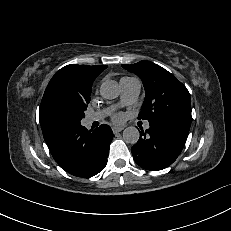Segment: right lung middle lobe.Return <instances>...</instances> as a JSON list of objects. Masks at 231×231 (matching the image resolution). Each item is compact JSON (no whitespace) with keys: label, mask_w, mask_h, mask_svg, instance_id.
I'll return each mask as SVG.
<instances>
[{"label":"right lung middle lobe","mask_w":231,"mask_h":231,"mask_svg":"<svg viewBox=\"0 0 231 231\" xmlns=\"http://www.w3.org/2000/svg\"><path fill=\"white\" fill-rule=\"evenodd\" d=\"M80 99L59 94L55 96L49 104L50 115L58 122L71 126L79 124L85 116L84 111L87 109V104Z\"/></svg>","instance_id":"obj_1"}]
</instances>
